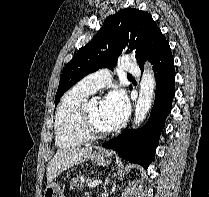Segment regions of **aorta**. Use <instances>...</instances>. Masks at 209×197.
Listing matches in <instances>:
<instances>
[{"label": "aorta", "mask_w": 209, "mask_h": 197, "mask_svg": "<svg viewBox=\"0 0 209 197\" xmlns=\"http://www.w3.org/2000/svg\"><path fill=\"white\" fill-rule=\"evenodd\" d=\"M155 86L156 80L152 67L146 62L144 73L140 82L139 97L135 107L133 123L135 127L139 126L140 123L145 119L152 106Z\"/></svg>", "instance_id": "1"}]
</instances>
